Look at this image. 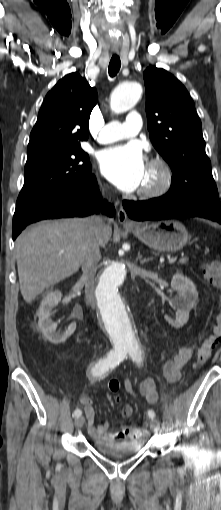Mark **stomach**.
<instances>
[{
    "instance_id": "obj_1",
    "label": "stomach",
    "mask_w": 221,
    "mask_h": 510,
    "mask_svg": "<svg viewBox=\"0 0 221 510\" xmlns=\"http://www.w3.org/2000/svg\"><path fill=\"white\" fill-rule=\"evenodd\" d=\"M128 229L147 246L168 252L182 249L189 237L185 226L176 220H163Z\"/></svg>"
}]
</instances>
